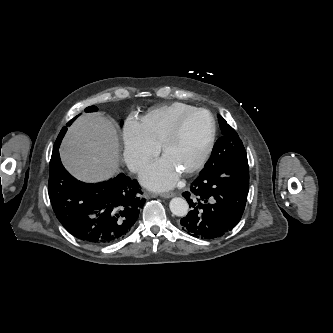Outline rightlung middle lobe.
<instances>
[{"label":"right lung middle lobe","mask_w":333,"mask_h":333,"mask_svg":"<svg viewBox=\"0 0 333 333\" xmlns=\"http://www.w3.org/2000/svg\"><path fill=\"white\" fill-rule=\"evenodd\" d=\"M91 108H92V107H88V108L86 109V112H88ZM90 112H91V111H90ZM76 118H77V116L74 117L72 120H70L69 123L67 124V126H70L71 123H72ZM122 123H123V122H121V125H122Z\"/></svg>","instance_id":"dd1d6c3e"}]
</instances>
